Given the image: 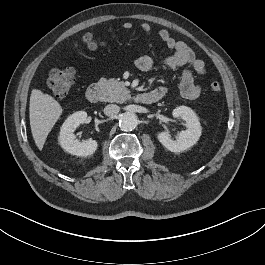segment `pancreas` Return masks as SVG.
I'll return each mask as SVG.
<instances>
[{"label":"pancreas","instance_id":"obj_1","mask_svg":"<svg viewBox=\"0 0 265 265\" xmlns=\"http://www.w3.org/2000/svg\"><path fill=\"white\" fill-rule=\"evenodd\" d=\"M97 85L102 91L101 100L105 102L123 103L130 97L129 90L125 87L123 82L116 79L101 78Z\"/></svg>","mask_w":265,"mask_h":265}]
</instances>
